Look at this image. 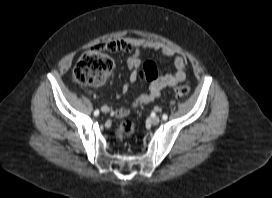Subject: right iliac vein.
<instances>
[{
  "label": "right iliac vein",
  "instance_id": "1",
  "mask_svg": "<svg viewBox=\"0 0 272 198\" xmlns=\"http://www.w3.org/2000/svg\"><path fill=\"white\" fill-rule=\"evenodd\" d=\"M101 110H102L103 113H108L110 109H109L108 106H103V107L101 108Z\"/></svg>",
  "mask_w": 272,
  "mask_h": 198
}]
</instances>
